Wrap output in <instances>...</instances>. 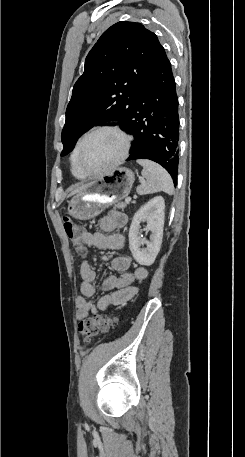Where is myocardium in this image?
<instances>
[{
	"label": "myocardium",
	"instance_id": "f54148a6",
	"mask_svg": "<svg viewBox=\"0 0 245 457\" xmlns=\"http://www.w3.org/2000/svg\"><path fill=\"white\" fill-rule=\"evenodd\" d=\"M102 131H110V132H113L114 134H116L117 136H119L122 140V147H121V152L120 154L118 155V157L108 166L102 168V169H99L97 171H89L82 163L81 161V154H82V151L86 145V142L88 141V139L98 133V132H102ZM130 145H131V139L130 137L122 130L120 129L119 127L117 126H114V125H100V126H96L94 128H92L89 132H87L83 139L81 140V143L79 144V147L77 149V152H76V161H77V165L78 167L80 168V170L86 175V176H97V175H100L102 173H105L107 171H110L114 168H116L124 159H126V157L128 156V153H129V150H130Z\"/></svg>",
	"mask_w": 245,
	"mask_h": 457
}]
</instances>
